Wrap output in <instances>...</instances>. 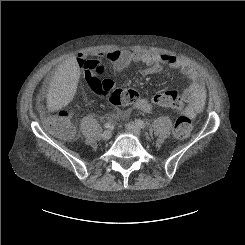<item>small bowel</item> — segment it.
<instances>
[{"label":"small bowel","instance_id":"1","mask_svg":"<svg viewBox=\"0 0 245 245\" xmlns=\"http://www.w3.org/2000/svg\"><path fill=\"white\" fill-rule=\"evenodd\" d=\"M97 56L106 57L117 71H122L133 63L146 65V69L143 71L144 75L159 73L164 66L172 69H180L190 80V85L182 93V100L186 103L183 114L190 118H194L202 111L205 105L206 91L198 71L190 64L178 59L175 55L130 50H112L105 54L99 53ZM77 65V60L75 58H67L56 68V72L58 74H65L75 70ZM91 79L92 77L88 76L90 89H92L90 85ZM101 81L110 88L112 87V82L110 80L106 79ZM132 107L143 112H151L154 109L151 100L144 96L135 99L132 102ZM116 113L117 115H120L122 112L117 111Z\"/></svg>","mask_w":245,"mask_h":245}]
</instances>
